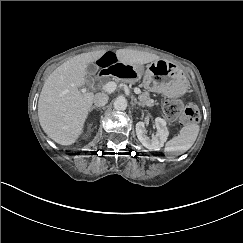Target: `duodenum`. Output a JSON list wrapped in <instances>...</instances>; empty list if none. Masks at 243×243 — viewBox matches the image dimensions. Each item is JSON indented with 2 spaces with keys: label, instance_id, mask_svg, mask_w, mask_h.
<instances>
[{
  "label": "duodenum",
  "instance_id": "obj_1",
  "mask_svg": "<svg viewBox=\"0 0 243 243\" xmlns=\"http://www.w3.org/2000/svg\"><path fill=\"white\" fill-rule=\"evenodd\" d=\"M137 68L127 63H119L104 69L100 72V77H113L116 79L127 80L136 77Z\"/></svg>",
  "mask_w": 243,
  "mask_h": 243
}]
</instances>
